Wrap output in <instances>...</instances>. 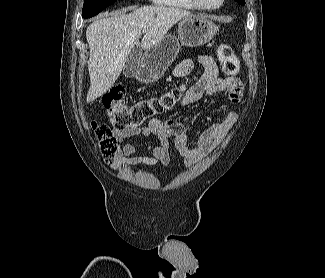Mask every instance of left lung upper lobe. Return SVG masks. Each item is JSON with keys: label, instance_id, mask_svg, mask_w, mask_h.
I'll return each instance as SVG.
<instances>
[{"label": "left lung upper lobe", "instance_id": "obj_1", "mask_svg": "<svg viewBox=\"0 0 325 278\" xmlns=\"http://www.w3.org/2000/svg\"><path fill=\"white\" fill-rule=\"evenodd\" d=\"M235 1H237L241 5H244L245 4V0H235Z\"/></svg>", "mask_w": 325, "mask_h": 278}]
</instances>
